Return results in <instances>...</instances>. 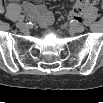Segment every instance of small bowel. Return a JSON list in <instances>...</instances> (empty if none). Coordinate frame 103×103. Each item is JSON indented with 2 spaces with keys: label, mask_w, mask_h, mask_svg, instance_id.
<instances>
[{
  "label": "small bowel",
  "mask_w": 103,
  "mask_h": 103,
  "mask_svg": "<svg viewBox=\"0 0 103 103\" xmlns=\"http://www.w3.org/2000/svg\"><path fill=\"white\" fill-rule=\"evenodd\" d=\"M5 2L2 1L0 8L3 9ZM24 11L33 19L37 20L42 27L50 26L54 21L53 14L46 9L44 5L35 4L30 1H24L22 3Z\"/></svg>",
  "instance_id": "obj_1"
}]
</instances>
